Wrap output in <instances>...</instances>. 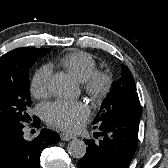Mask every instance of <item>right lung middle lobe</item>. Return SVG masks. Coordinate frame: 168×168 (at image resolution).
Masks as SVG:
<instances>
[{
	"label": "right lung middle lobe",
	"instance_id": "dd1d6c3e",
	"mask_svg": "<svg viewBox=\"0 0 168 168\" xmlns=\"http://www.w3.org/2000/svg\"><path fill=\"white\" fill-rule=\"evenodd\" d=\"M50 50L27 49L19 54L14 65L0 71V127L30 120L27 113L31 106L28 71L37 58Z\"/></svg>",
	"mask_w": 168,
	"mask_h": 168
}]
</instances>
